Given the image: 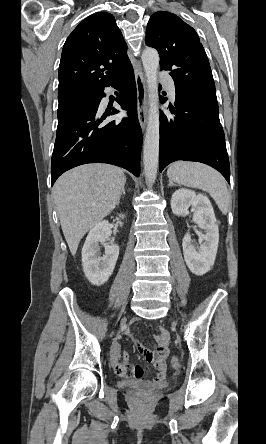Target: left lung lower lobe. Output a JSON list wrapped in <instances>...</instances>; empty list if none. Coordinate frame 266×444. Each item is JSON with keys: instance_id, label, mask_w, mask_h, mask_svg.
Returning a JSON list of instances; mask_svg holds the SVG:
<instances>
[{"instance_id": "1", "label": "left lung lower lobe", "mask_w": 266, "mask_h": 444, "mask_svg": "<svg viewBox=\"0 0 266 444\" xmlns=\"http://www.w3.org/2000/svg\"><path fill=\"white\" fill-rule=\"evenodd\" d=\"M174 116L160 113V172L176 160L205 163L230 183L225 135L215 88L175 86ZM166 99L162 97V102Z\"/></svg>"}]
</instances>
